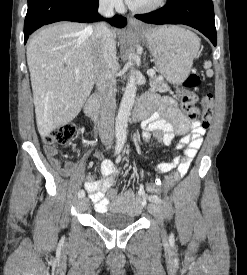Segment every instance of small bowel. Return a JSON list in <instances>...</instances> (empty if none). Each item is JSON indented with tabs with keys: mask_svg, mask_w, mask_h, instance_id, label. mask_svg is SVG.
Returning <instances> with one entry per match:
<instances>
[{
	"mask_svg": "<svg viewBox=\"0 0 247 275\" xmlns=\"http://www.w3.org/2000/svg\"><path fill=\"white\" fill-rule=\"evenodd\" d=\"M142 103L147 108L144 121L145 131L142 133V138L145 141L154 138L158 142L170 146L176 136H181L176 149H184V155H176L171 161L159 163L157 165L158 172L165 174L177 168L179 175L184 176L202 145L206 128L199 120L186 116L177 103L170 98L146 95ZM44 151L50 164L60 175L77 182L80 180L81 173L77 164L71 161H62L57 156V149L51 145H46ZM96 156L102 158L100 153H96ZM100 172L101 179L88 174L84 184L90 200L95 205L96 212L116 211L138 214L147 201V192L144 186H139L135 192L114 189L117 169L108 159L102 160Z\"/></svg>",
	"mask_w": 247,
	"mask_h": 275,
	"instance_id": "1",
	"label": "small bowel"
}]
</instances>
